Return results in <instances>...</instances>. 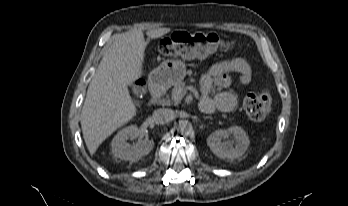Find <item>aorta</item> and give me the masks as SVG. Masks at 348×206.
Returning a JSON list of instances; mask_svg holds the SVG:
<instances>
[{"label": "aorta", "instance_id": "762f6f07", "mask_svg": "<svg viewBox=\"0 0 348 206\" xmlns=\"http://www.w3.org/2000/svg\"><path fill=\"white\" fill-rule=\"evenodd\" d=\"M178 129L181 134L189 135L193 131V126L188 120H181L179 121Z\"/></svg>", "mask_w": 348, "mask_h": 206}]
</instances>
